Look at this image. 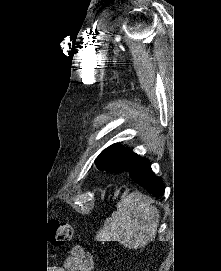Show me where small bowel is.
<instances>
[{
    "label": "small bowel",
    "instance_id": "obj_1",
    "mask_svg": "<svg viewBox=\"0 0 221 271\" xmlns=\"http://www.w3.org/2000/svg\"><path fill=\"white\" fill-rule=\"evenodd\" d=\"M67 271H92L94 268L93 256L82 246H74L65 262Z\"/></svg>",
    "mask_w": 221,
    "mask_h": 271
}]
</instances>
